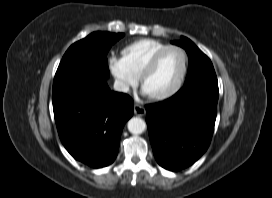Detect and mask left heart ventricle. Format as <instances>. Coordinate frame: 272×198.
Here are the masks:
<instances>
[{"instance_id": "left-heart-ventricle-1", "label": "left heart ventricle", "mask_w": 272, "mask_h": 198, "mask_svg": "<svg viewBox=\"0 0 272 198\" xmlns=\"http://www.w3.org/2000/svg\"><path fill=\"white\" fill-rule=\"evenodd\" d=\"M183 70V56L178 50L166 52L155 70L146 77L142 88L148 96L170 91L178 82Z\"/></svg>"}]
</instances>
